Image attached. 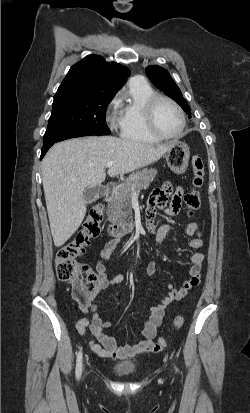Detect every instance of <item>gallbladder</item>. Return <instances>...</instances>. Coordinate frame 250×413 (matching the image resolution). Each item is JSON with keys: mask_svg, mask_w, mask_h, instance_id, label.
<instances>
[{"mask_svg": "<svg viewBox=\"0 0 250 413\" xmlns=\"http://www.w3.org/2000/svg\"><path fill=\"white\" fill-rule=\"evenodd\" d=\"M103 192H104V188L101 186L89 187L84 192V199L87 203H92Z\"/></svg>", "mask_w": 250, "mask_h": 413, "instance_id": "1", "label": "gallbladder"}]
</instances>
